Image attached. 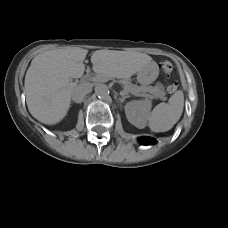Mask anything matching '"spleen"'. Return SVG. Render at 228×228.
<instances>
[{
    "mask_svg": "<svg viewBox=\"0 0 228 228\" xmlns=\"http://www.w3.org/2000/svg\"><path fill=\"white\" fill-rule=\"evenodd\" d=\"M184 108V94L176 91L167 103H160L148 115V126L153 132L170 130L180 119Z\"/></svg>",
    "mask_w": 228,
    "mask_h": 228,
    "instance_id": "spleen-1",
    "label": "spleen"
}]
</instances>
